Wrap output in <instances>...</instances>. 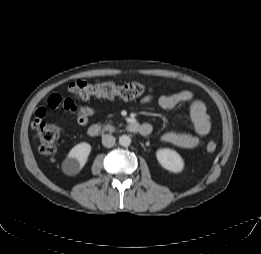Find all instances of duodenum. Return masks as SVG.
Returning a JSON list of instances; mask_svg holds the SVG:
<instances>
[{
  "instance_id": "1",
  "label": "duodenum",
  "mask_w": 261,
  "mask_h": 254,
  "mask_svg": "<svg viewBox=\"0 0 261 254\" xmlns=\"http://www.w3.org/2000/svg\"><path fill=\"white\" fill-rule=\"evenodd\" d=\"M129 132L133 134H140L142 136H147L152 131V126L139 124L138 122H130L123 126H118L114 124H94L88 128V134L90 136H99L102 134H113L118 132Z\"/></svg>"
}]
</instances>
